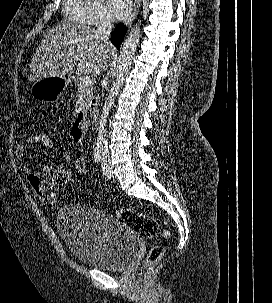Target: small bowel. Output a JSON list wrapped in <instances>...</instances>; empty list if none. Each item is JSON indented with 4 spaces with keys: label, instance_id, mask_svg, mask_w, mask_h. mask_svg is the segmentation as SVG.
Wrapping results in <instances>:
<instances>
[{
    "label": "small bowel",
    "instance_id": "c3829d8e",
    "mask_svg": "<svg viewBox=\"0 0 272 303\" xmlns=\"http://www.w3.org/2000/svg\"><path fill=\"white\" fill-rule=\"evenodd\" d=\"M71 139L78 142L74 132L71 133ZM37 145V135H30L24 142L18 143L15 146V156L22 158L27 152L29 146ZM22 173L28 178L31 186L39 195L41 193L49 192L52 188L64 185L70 178V172L64 168L48 169L43 171L34 172L27 165L21 166Z\"/></svg>",
    "mask_w": 272,
    "mask_h": 303
}]
</instances>
